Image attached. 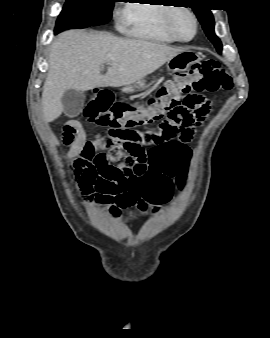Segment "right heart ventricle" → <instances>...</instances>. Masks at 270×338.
I'll list each match as a JSON object with an SVG mask.
<instances>
[{
  "mask_svg": "<svg viewBox=\"0 0 270 338\" xmlns=\"http://www.w3.org/2000/svg\"><path fill=\"white\" fill-rule=\"evenodd\" d=\"M168 5L171 4L161 1H154L149 4L132 3L128 5L123 21L128 34L153 42H175L176 40L167 31L166 19L168 13L177 5Z\"/></svg>",
  "mask_w": 270,
  "mask_h": 338,
  "instance_id": "right-heart-ventricle-1",
  "label": "right heart ventricle"
}]
</instances>
